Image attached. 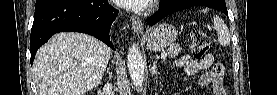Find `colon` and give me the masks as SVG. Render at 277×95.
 Returning <instances> with one entry per match:
<instances>
[{"label": "colon", "instance_id": "obj_1", "mask_svg": "<svg viewBox=\"0 0 277 95\" xmlns=\"http://www.w3.org/2000/svg\"><path fill=\"white\" fill-rule=\"evenodd\" d=\"M211 45L210 37L201 29H196L190 35V50L196 59L203 58Z\"/></svg>", "mask_w": 277, "mask_h": 95}]
</instances>
